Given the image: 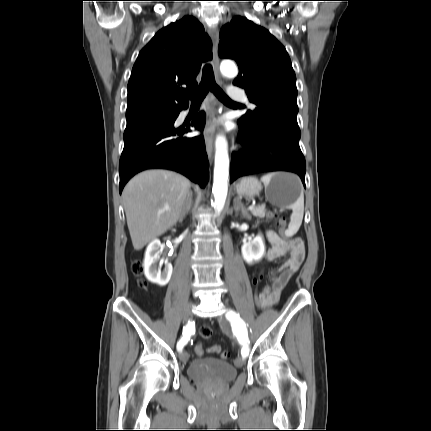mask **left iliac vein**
I'll use <instances>...</instances> for the list:
<instances>
[{
    "instance_id": "1",
    "label": "left iliac vein",
    "mask_w": 431,
    "mask_h": 431,
    "mask_svg": "<svg viewBox=\"0 0 431 431\" xmlns=\"http://www.w3.org/2000/svg\"><path fill=\"white\" fill-rule=\"evenodd\" d=\"M245 364V359L243 357H237L235 359V365L237 367H242Z\"/></svg>"
}]
</instances>
